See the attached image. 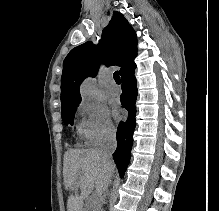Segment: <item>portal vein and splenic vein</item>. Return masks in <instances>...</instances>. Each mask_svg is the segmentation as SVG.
Returning a JSON list of instances; mask_svg holds the SVG:
<instances>
[{"label":"portal vein and splenic vein","instance_id":"portal-vein-and-splenic-vein-1","mask_svg":"<svg viewBox=\"0 0 219 211\" xmlns=\"http://www.w3.org/2000/svg\"><path fill=\"white\" fill-rule=\"evenodd\" d=\"M89 201H93V203H95V199H89Z\"/></svg>","mask_w":219,"mask_h":211}]
</instances>
